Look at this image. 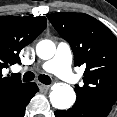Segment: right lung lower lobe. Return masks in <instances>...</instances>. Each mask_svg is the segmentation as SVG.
Masks as SVG:
<instances>
[{
    "label": "right lung lower lobe",
    "mask_w": 117,
    "mask_h": 117,
    "mask_svg": "<svg viewBox=\"0 0 117 117\" xmlns=\"http://www.w3.org/2000/svg\"><path fill=\"white\" fill-rule=\"evenodd\" d=\"M38 91L36 83H29L11 104L0 110V117H24L26 106Z\"/></svg>",
    "instance_id": "1"
}]
</instances>
